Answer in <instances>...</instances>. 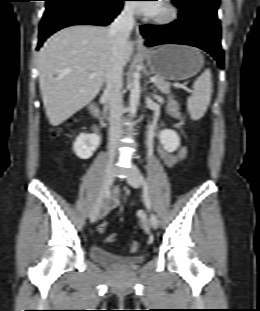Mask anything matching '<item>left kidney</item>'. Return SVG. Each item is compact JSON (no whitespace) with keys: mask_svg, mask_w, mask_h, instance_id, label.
<instances>
[{"mask_svg":"<svg viewBox=\"0 0 260 311\" xmlns=\"http://www.w3.org/2000/svg\"><path fill=\"white\" fill-rule=\"evenodd\" d=\"M158 137L167 152H174L180 145V138L173 130H161Z\"/></svg>","mask_w":260,"mask_h":311,"instance_id":"1","label":"left kidney"}]
</instances>
